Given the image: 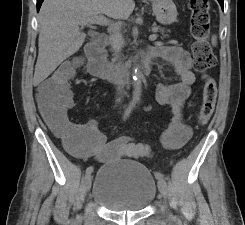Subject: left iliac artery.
<instances>
[{
  "mask_svg": "<svg viewBox=\"0 0 245 225\" xmlns=\"http://www.w3.org/2000/svg\"><path fill=\"white\" fill-rule=\"evenodd\" d=\"M155 176L158 180L164 179V175L162 173H156Z\"/></svg>",
  "mask_w": 245,
  "mask_h": 225,
  "instance_id": "obj_1",
  "label": "left iliac artery"
}]
</instances>
